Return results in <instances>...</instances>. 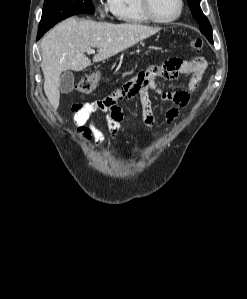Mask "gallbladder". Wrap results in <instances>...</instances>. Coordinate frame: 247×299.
<instances>
[{
    "label": "gallbladder",
    "mask_w": 247,
    "mask_h": 299,
    "mask_svg": "<svg viewBox=\"0 0 247 299\" xmlns=\"http://www.w3.org/2000/svg\"><path fill=\"white\" fill-rule=\"evenodd\" d=\"M74 88V75L72 71H64L60 76L59 89L61 93L67 94L71 92Z\"/></svg>",
    "instance_id": "1"
}]
</instances>
